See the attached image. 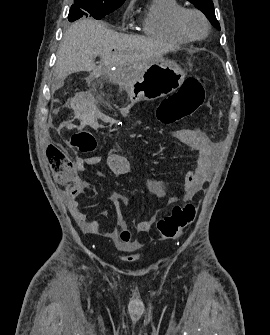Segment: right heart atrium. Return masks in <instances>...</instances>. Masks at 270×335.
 I'll list each match as a JSON object with an SVG mask.
<instances>
[{"label":"right heart atrium","instance_id":"1","mask_svg":"<svg viewBox=\"0 0 270 335\" xmlns=\"http://www.w3.org/2000/svg\"><path fill=\"white\" fill-rule=\"evenodd\" d=\"M132 4H133V1L131 0V1L129 2V7L132 6Z\"/></svg>","mask_w":270,"mask_h":335}]
</instances>
